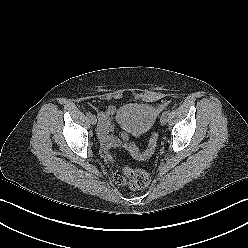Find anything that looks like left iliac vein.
I'll use <instances>...</instances> for the list:
<instances>
[{"label": "left iliac vein", "mask_w": 248, "mask_h": 248, "mask_svg": "<svg viewBox=\"0 0 248 248\" xmlns=\"http://www.w3.org/2000/svg\"><path fill=\"white\" fill-rule=\"evenodd\" d=\"M168 121V115L167 114H162V116L160 117V123L162 125H165Z\"/></svg>", "instance_id": "obj_1"}]
</instances>
